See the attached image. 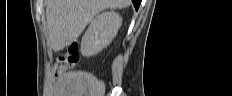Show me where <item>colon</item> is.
Instances as JSON below:
<instances>
[{
    "instance_id": "5ec220e1",
    "label": "colon",
    "mask_w": 232,
    "mask_h": 96,
    "mask_svg": "<svg viewBox=\"0 0 232 96\" xmlns=\"http://www.w3.org/2000/svg\"><path fill=\"white\" fill-rule=\"evenodd\" d=\"M80 59L78 46L76 43H72L66 53L58 57L56 66L57 68H73L76 66Z\"/></svg>"
}]
</instances>
